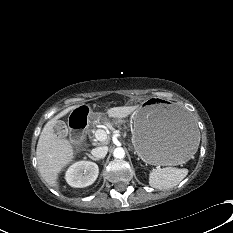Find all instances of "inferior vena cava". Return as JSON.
Instances as JSON below:
<instances>
[{
  "label": "inferior vena cava",
  "mask_w": 233,
  "mask_h": 233,
  "mask_svg": "<svg viewBox=\"0 0 233 233\" xmlns=\"http://www.w3.org/2000/svg\"><path fill=\"white\" fill-rule=\"evenodd\" d=\"M108 152V147L107 146H102V147H96L92 149L91 153L94 157L100 159L104 158Z\"/></svg>",
  "instance_id": "1"
}]
</instances>
